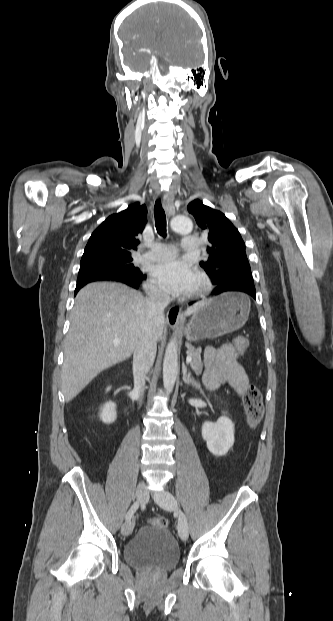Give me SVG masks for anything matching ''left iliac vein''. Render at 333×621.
Listing matches in <instances>:
<instances>
[{
  "mask_svg": "<svg viewBox=\"0 0 333 621\" xmlns=\"http://www.w3.org/2000/svg\"><path fill=\"white\" fill-rule=\"evenodd\" d=\"M155 502L166 510H176L178 513L177 529L182 540L188 538V521L185 514L178 508L175 497L167 491L157 493L154 496Z\"/></svg>",
  "mask_w": 333,
  "mask_h": 621,
  "instance_id": "left-iliac-vein-1",
  "label": "left iliac vein"
}]
</instances>
